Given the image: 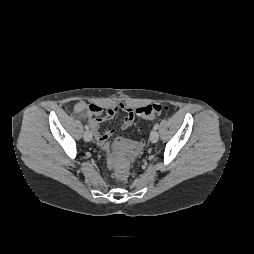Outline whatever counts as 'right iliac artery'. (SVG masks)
Masks as SVG:
<instances>
[{
    "label": "right iliac artery",
    "mask_w": 254,
    "mask_h": 254,
    "mask_svg": "<svg viewBox=\"0 0 254 254\" xmlns=\"http://www.w3.org/2000/svg\"><path fill=\"white\" fill-rule=\"evenodd\" d=\"M85 129H86V130H89V126H88V125H86V126H85Z\"/></svg>",
    "instance_id": "1"
}]
</instances>
